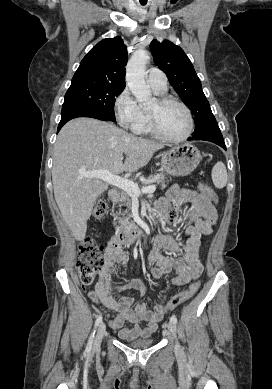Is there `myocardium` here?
<instances>
[{"label": "myocardium", "mask_w": 272, "mask_h": 389, "mask_svg": "<svg viewBox=\"0 0 272 389\" xmlns=\"http://www.w3.org/2000/svg\"><path fill=\"white\" fill-rule=\"evenodd\" d=\"M156 102L158 104V107H163V106H166L169 104H175V105L180 106L185 111V113L187 115L188 129L182 136H179V137L168 136L161 130V128L159 126L156 112L148 110L150 127H151L153 134L164 141L173 142V143L182 142V141H185L186 139H188L194 131V118H193V114H192L190 108L184 102H182L174 97H170V96L159 97L156 100Z\"/></svg>", "instance_id": "obj_1"}]
</instances>
